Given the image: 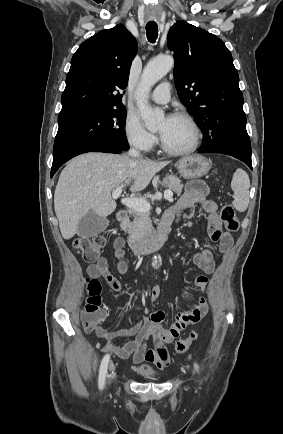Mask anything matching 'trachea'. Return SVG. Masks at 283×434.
<instances>
[{"label": "trachea", "instance_id": "1", "mask_svg": "<svg viewBox=\"0 0 283 434\" xmlns=\"http://www.w3.org/2000/svg\"><path fill=\"white\" fill-rule=\"evenodd\" d=\"M146 35L150 43H155L158 37V25L155 22L151 21L147 23Z\"/></svg>", "mask_w": 283, "mask_h": 434}]
</instances>
